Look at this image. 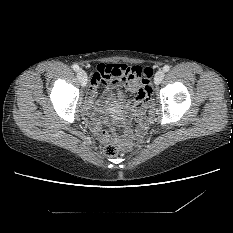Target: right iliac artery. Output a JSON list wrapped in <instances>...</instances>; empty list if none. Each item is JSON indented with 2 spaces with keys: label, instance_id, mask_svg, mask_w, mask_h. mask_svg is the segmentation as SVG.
Returning a JSON list of instances; mask_svg holds the SVG:
<instances>
[{
  "label": "right iliac artery",
  "instance_id": "1",
  "mask_svg": "<svg viewBox=\"0 0 233 233\" xmlns=\"http://www.w3.org/2000/svg\"><path fill=\"white\" fill-rule=\"evenodd\" d=\"M72 68H73L74 71H78V70H79V66L76 65V64H74V65L72 66Z\"/></svg>",
  "mask_w": 233,
  "mask_h": 233
}]
</instances>
